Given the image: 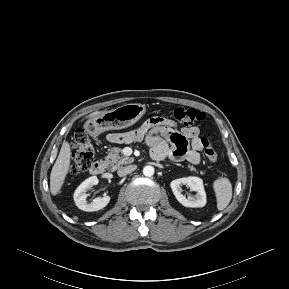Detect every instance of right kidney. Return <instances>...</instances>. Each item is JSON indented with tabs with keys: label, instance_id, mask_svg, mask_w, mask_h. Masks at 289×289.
I'll return each instance as SVG.
<instances>
[{
	"label": "right kidney",
	"instance_id": "1",
	"mask_svg": "<svg viewBox=\"0 0 289 289\" xmlns=\"http://www.w3.org/2000/svg\"><path fill=\"white\" fill-rule=\"evenodd\" d=\"M99 179L96 176L89 177L83 181L78 188L75 190L73 198L76 206L87 212H93L103 209L110 202L109 196L97 197L91 202L87 201L88 194L87 190L93 185H97Z\"/></svg>",
	"mask_w": 289,
	"mask_h": 289
}]
</instances>
